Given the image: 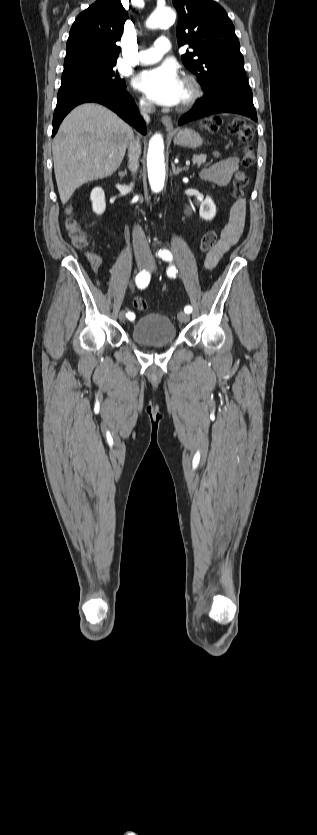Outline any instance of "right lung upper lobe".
Masks as SVG:
<instances>
[{
  "label": "right lung upper lobe",
  "instance_id": "1",
  "mask_svg": "<svg viewBox=\"0 0 317 835\" xmlns=\"http://www.w3.org/2000/svg\"><path fill=\"white\" fill-rule=\"evenodd\" d=\"M127 12L120 0H98L78 15L66 45L65 62L96 60L115 62Z\"/></svg>",
  "mask_w": 317,
  "mask_h": 835
}]
</instances>
